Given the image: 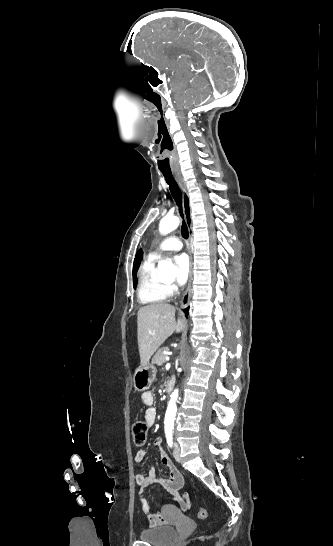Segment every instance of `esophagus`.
<instances>
[{
    "mask_svg": "<svg viewBox=\"0 0 333 546\" xmlns=\"http://www.w3.org/2000/svg\"><path fill=\"white\" fill-rule=\"evenodd\" d=\"M175 179H176V182L178 183V185H179V187H180V189L182 191L184 216H185L186 223H187V225L189 227L190 239H192V222H191V207H190L189 194H188V191L186 189V186H185L181 176L178 175V174H175ZM190 262H191V268H190V274H189V283H188L187 290L184 293L183 298L181 300V307L182 308H186L188 306L189 301H190L191 292H192L191 282H192V278H193V273H192L193 263H192L191 251H190Z\"/></svg>",
    "mask_w": 333,
    "mask_h": 546,
    "instance_id": "esophagus-1",
    "label": "esophagus"
}]
</instances>
